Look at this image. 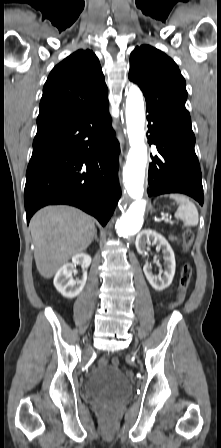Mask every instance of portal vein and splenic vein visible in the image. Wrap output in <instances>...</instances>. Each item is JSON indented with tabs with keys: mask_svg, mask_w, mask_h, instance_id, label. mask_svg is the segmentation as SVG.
Listing matches in <instances>:
<instances>
[{
	"mask_svg": "<svg viewBox=\"0 0 221 448\" xmlns=\"http://www.w3.org/2000/svg\"><path fill=\"white\" fill-rule=\"evenodd\" d=\"M164 221H165L166 223H171V220L168 219V218H165Z\"/></svg>",
	"mask_w": 221,
	"mask_h": 448,
	"instance_id": "portal-vein-and-splenic-vein-1",
	"label": "portal vein and splenic vein"
}]
</instances>
